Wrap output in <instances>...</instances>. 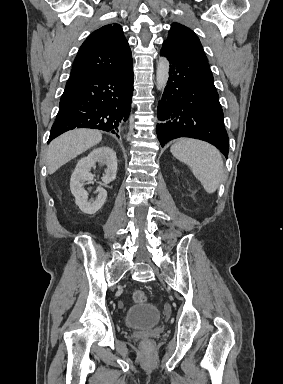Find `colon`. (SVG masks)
I'll use <instances>...</instances> for the list:
<instances>
[{
	"instance_id": "obj_1",
	"label": "colon",
	"mask_w": 283,
	"mask_h": 384,
	"mask_svg": "<svg viewBox=\"0 0 283 384\" xmlns=\"http://www.w3.org/2000/svg\"><path fill=\"white\" fill-rule=\"evenodd\" d=\"M132 298H133V301H134L135 303H138V304H140V303H144V302L147 301V295H146V293H145L143 290H141V289H137V290H135V291L133 292Z\"/></svg>"
}]
</instances>
